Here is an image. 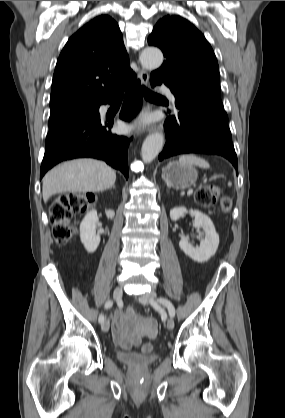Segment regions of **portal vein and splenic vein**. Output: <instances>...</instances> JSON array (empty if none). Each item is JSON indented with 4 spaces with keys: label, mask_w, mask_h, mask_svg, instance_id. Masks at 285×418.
Listing matches in <instances>:
<instances>
[{
    "label": "portal vein and splenic vein",
    "mask_w": 285,
    "mask_h": 418,
    "mask_svg": "<svg viewBox=\"0 0 285 418\" xmlns=\"http://www.w3.org/2000/svg\"><path fill=\"white\" fill-rule=\"evenodd\" d=\"M192 193H193V189H189L187 192V195H192Z\"/></svg>",
    "instance_id": "portal-vein-and-splenic-vein-1"
}]
</instances>
